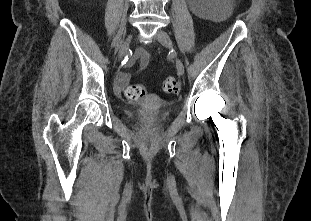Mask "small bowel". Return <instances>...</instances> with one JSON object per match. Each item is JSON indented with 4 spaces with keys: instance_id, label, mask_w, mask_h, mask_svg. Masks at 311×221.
<instances>
[{
    "instance_id": "obj_1",
    "label": "small bowel",
    "mask_w": 311,
    "mask_h": 221,
    "mask_svg": "<svg viewBox=\"0 0 311 221\" xmlns=\"http://www.w3.org/2000/svg\"><path fill=\"white\" fill-rule=\"evenodd\" d=\"M136 57L140 63L141 70L145 69L151 61V56H150L149 52L144 50V49H139L137 51Z\"/></svg>"
}]
</instances>
